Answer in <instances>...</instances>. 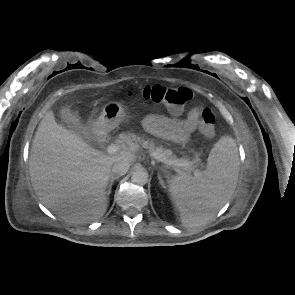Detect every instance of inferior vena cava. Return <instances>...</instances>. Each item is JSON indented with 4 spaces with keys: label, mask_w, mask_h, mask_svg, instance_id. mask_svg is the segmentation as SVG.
<instances>
[{
    "label": "inferior vena cava",
    "mask_w": 295,
    "mask_h": 295,
    "mask_svg": "<svg viewBox=\"0 0 295 295\" xmlns=\"http://www.w3.org/2000/svg\"><path fill=\"white\" fill-rule=\"evenodd\" d=\"M130 164L126 161H117L112 167V172L117 176L125 175L129 170Z\"/></svg>",
    "instance_id": "obj_1"
}]
</instances>
